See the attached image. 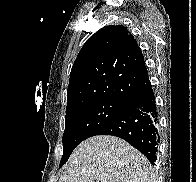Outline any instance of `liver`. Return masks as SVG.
<instances>
[{
    "mask_svg": "<svg viewBox=\"0 0 196 182\" xmlns=\"http://www.w3.org/2000/svg\"><path fill=\"white\" fill-rule=\"evenodd\" d=\"M59 182H156L147 158L114 136H94L71 154Z\"/></svg>",
    "mask_w": 196,
    "mask_h": 182,
    "instance_id": "liver-1",
    "label": "liver"
}]
</instances>
